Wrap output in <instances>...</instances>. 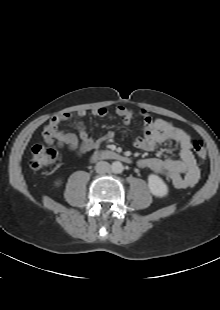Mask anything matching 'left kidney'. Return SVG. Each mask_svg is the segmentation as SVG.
I'll return each mask as SVG.
<instances>
[{
    "label": "left kidney",
    "instance_id": "left-kidney-1",
    "mask_svg": "<svg viewBox=\"0 0 220 310\" xmlns=\"http://www.w3.org/2000/svg\"><path fill=\"white\" fill-rule=\"evenodd\" d=\"M148 187L156 197H165L168 194V186L158 175L150 174L148 176Z\"/></svg>",
    "mask_w": 220,
    "mask_h": 310
}]
</instances>
